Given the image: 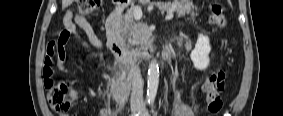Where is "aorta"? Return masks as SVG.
<instances>
[{"label": "aorta", "mask_w": 283, "mask_h": 116, "mask_svg": "<svg viewBox=\"0 0 283 116\" xmlns=\"http://www.w3.org/2000/svg\"><path fill=\"white\" fill-rule=\"evenodd\" d=\"M159 84V66L156 60L149 64L148 68V83H147V96L148 102H154Z\"/></svg>", "instance_id": "1"}]
</instances>
